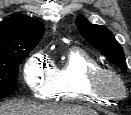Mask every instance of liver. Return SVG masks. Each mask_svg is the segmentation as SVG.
Returning <instances> with one entry per match:
<instances>
[{"label":"liver","mask_w":131,"mask_h":115,"mask_svg":"<svg viewBox=\"0 0 131 115\" xmlns=\"http://www.w3.org/2000/svg\"><path fill=\"white\" fill-rule=\"evenodd\" d=\"M0 115H98V113L80 106L36 104L24 100H12L0 106Z\"/></svg>","instance_id":"6515ba94"}]
</instances>
